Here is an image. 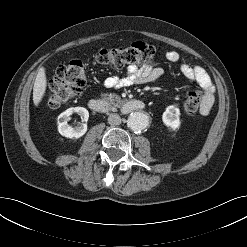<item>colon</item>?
Wrapping results in <instances>:
<instances>
[{"instance_id": "1", "label": "colon", "mask_w": 247, "mask_h": 247, "mask_svg": "<svg viewBox=\"0 0 247 247\" xmlns=\"http://www.w3.org/2000/svg\"><path fill=\"white\" fill-rule=\"evenodd\" d=\"M161 48L144 42H135L129 47L101 49L96 61L104 66L121 68L125 65H140L152 61ZM87 82L84 63L75 59L60 65L50 82L47 102L50 107L60 106L77 96L84 90ZM201 103V95L195 90L187 92L183 100V108L187 114H194Z\"/></svg>"}]
</instances>
